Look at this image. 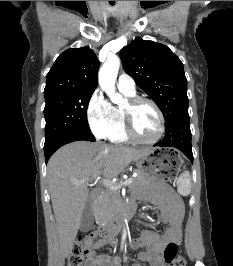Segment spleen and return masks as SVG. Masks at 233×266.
Returning <instances> with one entry per match:
<instances>
[{
  "mask_svg": "<svg viewBox=\"0 0 233 266\" xmlns=\"http://www.w3.org/2000/svg\"><path fill=\"white\" fill-rule=\"evenodd\" d=\"M177 191L182 196H187L190 194L191 191V177L190 173L185 171L183 172L177 181Z\"/></svg>",
  "mask_w": 233,
  "mask_h": 266,
  "instance_id": "spleen-1",
  "label": "spleen"
}]
</instances>
